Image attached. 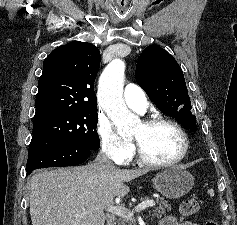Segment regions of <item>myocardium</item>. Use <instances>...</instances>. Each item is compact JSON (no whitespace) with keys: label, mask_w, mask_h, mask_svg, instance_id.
I'll use <instances>...</instances> for the list:
<instances>
[{"label":"myocardium","mask_w":237,"mask_h":225,"mask_svg":"<svg viewBox=\"0 0 237 225\" xmlns=\"http://www.w3.org/2000/svg\"><path fill=\"white\" fill-rule=\"evenodd\" d=\"M142 124L146 128H151L156 125H168V126L174 128L178 132V134L180 135V137L182 139L183 148H182V151L180 152V154L176 158H174L172 160H168V161H158V160H152V159L147 158L144 155V153L142 152L139 145L134 141L133 154L139 163L146 165V166H150V167H170V166H174V165L180 163L186 157V155L189 151V139H188L186 132L180 126L179 123H177L174 120L164 118V117H153V118L144 120L142 122Z\"/></svg>","instance_id":"1"}]
</instances>
